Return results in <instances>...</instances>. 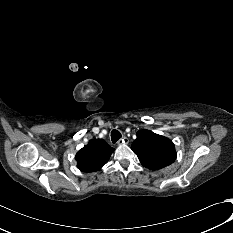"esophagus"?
I'll list each match as a JSON object with an SVG mask.
<instances>
[{
	"label": "esophagus",
	"instance_id": "1",
	"mask_svg": "<svg viewBox=\"0 0 233 233\" xmlns=\"http://www.w3.org/2000/svg\"><path fill=\"white\" fill-rule=\"evenodd\" d=\"M128 142H129V139H128L127 137H123L122 139H119V140H118L117 144H118L119 146H121V145H126V144H128Z\"/></svg>",
	"mask_w": 233,
	"mask_h": 233
}]
</instances>
